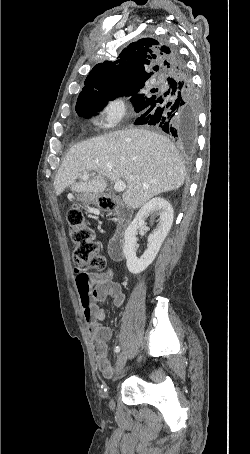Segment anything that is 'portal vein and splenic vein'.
Segmentation results:
<instances>
[{"label": "portal vein and splenic vein", "instance_id": "portal-vein-and-splenic-vein-1", "mask_svg": "<svg viewBox=\"0 0 250 454\" xmlns=\"http://www.w3.org/2000/svg\"><path fill=\"white\" fill-rule=\"evenodd\" d=\"M80 178H82L83 180H88L89 179V174L88 173H83L82 175H80ZM126 189V184L124 181H117L114 185V190L116 192H122Z\"/></svg>", "mask_w": 250, "mask_h": 454}]
</instances>
